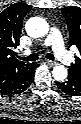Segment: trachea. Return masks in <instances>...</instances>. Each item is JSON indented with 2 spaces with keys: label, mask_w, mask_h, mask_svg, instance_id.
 Instances as JSON below:
<instances>
[{
  "label": "trachea",
  "mask_w": 81,
  "mask_h": 124,
  "mask_svg": "<svg viewBox=\"0 0 81 124\" xmlns=\"http://www.w3.org/2000/svg\"><path fill=\"white\" fill-rule=\"evenodd\" d=\"M45 57L49 60H52V61L54 60V56L51 53H47ZM20 59L24 60V61H28V62H33V61H36L38 59V54L33 53L27 57H21Z\"/></svg>",
  "instance_id": "trachea-1"
}]
</instances>
